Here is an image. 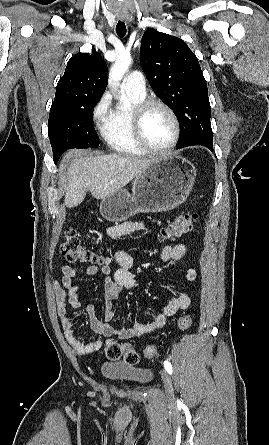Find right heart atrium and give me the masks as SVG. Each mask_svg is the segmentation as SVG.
<instances>
[{
	"label": "right heart atrium",
	"instance_id": "obj_1",
	"mask_svg": "<svg viewBox=\"0 0 269 445\" xmlns=\"http://www.w3.org/2000/svg\"><path fill=\"white\" fill-rule=\"evenodd\" d=\"M109 97L107 94L103 95L94 105L93 118L96 121H102L108 113Z\"/></svg>",
	"mask_w": 269,
	"mask_h": 445
}]
</instances>
